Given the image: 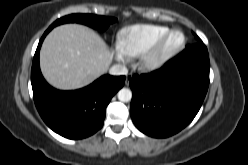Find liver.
<instances>
[{"label": "liver", "mask_w": 248, "mask_h": 165, "mask_svg": "<svg viewBox=\"0 0 248 165\" xmlns=\"http://www.w3.org/2000/svg\"><path fill=\"white\" fill-rule=\"evenodd\" d=\"M113 55L103 39L79 24L54 28L40 51V67L46 81L61 90L85 87L105 74Z\"/></svg>", "instance_id": "liver-1"}]
</instances>
